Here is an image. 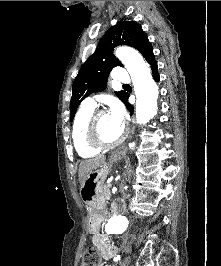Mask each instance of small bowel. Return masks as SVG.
Instances as JSON below:
<instances>
[{
	"label": "small bowel",
	"instance_id": "1",
	"mask_svg": "<svg viewBox=\"0 0 221 266\" xmlns=\"http://www.w3.org/2000/svg\"><path fill=\"white\" fill-rule=\"evenodd\" d=\"M93 243L100 250L102 258L106 261L110 260L117 252V248L111 242L110 236L107 234H94Z\"/></svg>",
	"mask_w": 221,
	"mask_h": 266
}]
</instances>
